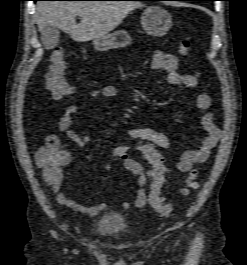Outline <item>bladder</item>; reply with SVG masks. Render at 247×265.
I'll return each mask as SVG.
<instances>
[{
	"instance_id": "obj_1",
	"label": "bladder",
	"mask_w": 247,
	"mask_h": 265,
	"mask_svg": "<svg viewBox=\"0 0 247 265\" xmlns=\"http://www.w3.org/2000/svg\"><path fill=\"white\" fill-rule=\"evenodd\" d=\"M128 226L124 215L114 212H106L97 220V231L106 236H115L125 230Z\"/></svg>"
}]
</instances>
